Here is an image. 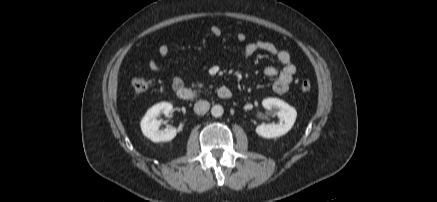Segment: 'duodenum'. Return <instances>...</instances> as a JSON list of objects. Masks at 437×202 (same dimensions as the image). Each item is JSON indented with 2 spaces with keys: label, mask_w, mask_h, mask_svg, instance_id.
<instances>
[{
  "label": "duodenum",
  "mask_w": 437,
  "mask_h": 202,
  "mask_svg": "<svg viewBox=\"0 0 437 202\" xmlns=\"http://www.w3.org/2000/svg\"><path fill=\"white\" fill-rule=\"evenodd\" d=\"M176 94L178 98L183 101H195L203 96L201 92L184 86L179 88L176 91ZM217 95L221 99H230L232 97V92L228 87L221 86L217 89Z\"/></svg>",
  "instance_id": "410a0bca"
}]
</instances>
